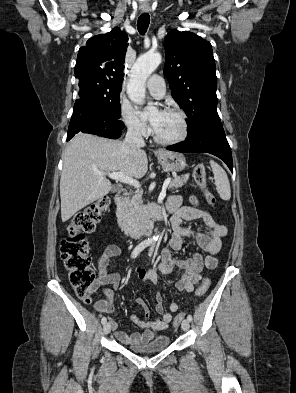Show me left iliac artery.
Masks as SVG:
<instances>
[{
    "mask_svg": "<svg viewBox=\"0 0 296 393\" xmlns=\"http://www.w3.org/2000/svg\"><path fill=\"white\" fill-rule=\"evenodd\" d=\"M153 249H154V246H152V247L150 248V250H149V256L152 255ZM187 319L191 322L192 319H193V318H192V315H188Z\"/></svg>",
    "mask_w": 296,
    "mask_h": 393,
    "instance_id": "1",
    "label": "left iliac artery"
}]
</instances>
